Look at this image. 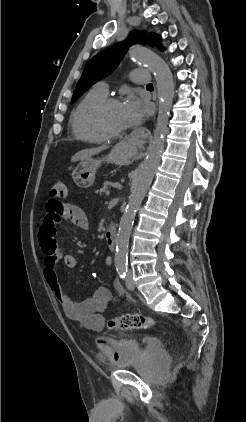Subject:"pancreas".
<instances>
[{
    "label": "pancreas",
    "instance_id": "cf45deb5",
    "mask_svg": "<svg viewBox=\"0 0 246 422\" xmlns=\"http://www.w3.org/2000/svg\"><path fill=\"white\" fill-rule=\"evenodd\" d=\"M107 189H108V183H107V182H105V183L103 184V186L100 188V190H99V194H100V195H102V194L106 193Z\"/></svg>",
    "mask_w": 246,
    "mask_h": 422
}]
</instances>
